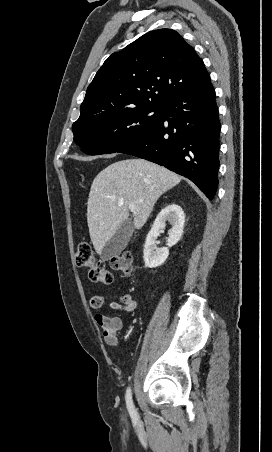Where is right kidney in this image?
<instances>
[{
  "label": "right kidney",
  "mask_w": 272,
  "mask_h": 452,
  "mask_svg": "<svg viewBox=\"0 0 272 452\" xmlns=\"http://www.w3.org/2000/svg\"><path fill=\"white\" fill-rule=\"evenodd\" d=\"M166 221H169L172 225L168 232L167 247L157 248L156 239L159 231L165 228ZM184 222L185 214L179 205L170 204L160 211L146 237L144 245L143 258L148 268L158 267L166 261L169 255V248L178 243L182 236Z\"/></svg>",
  "instance_id": "right-kidney-1"
}]
</instances>
